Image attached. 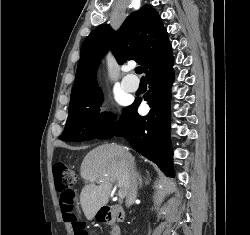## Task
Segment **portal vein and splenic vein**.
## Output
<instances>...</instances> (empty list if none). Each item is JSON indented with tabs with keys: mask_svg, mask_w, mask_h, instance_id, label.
Wrapping results in <instances>:
<instances>
[{
	"mask_svg": "<svg viewBox=\"0 0 250 235\" xmlns=\"http://www.w3.org/2000/svg\"><path fill=\"white\" fill-rule=\"evenodd\" d=\"M125 196H126V191L120 190V191H119V197H120V198H124Z\"/></svg>",
	"mask_w": 250,
	"mask_h": 235,
	"instance_id": "obj_1",
	"label": "portal vein and splenic vein"
}]
</instances>
